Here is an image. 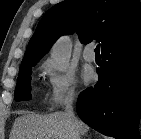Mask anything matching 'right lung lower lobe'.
<instances>
[{
  "mask_svg": "<svg viewBox=\"0 0 141 139\" xmlns=\"http://www.w3.org/2000/svg\"><path fill=\"white\" fill-rule=\"evenodd\" d=\"M98 82L78 97L80 119L117 139H139L141 33L102 51Z\"/></svg>",
  "mask_w": 141,
  "mask_h": 139,
  "instance_id": "1",
  "label": "right lung lower lobe"
}]
</instances>
